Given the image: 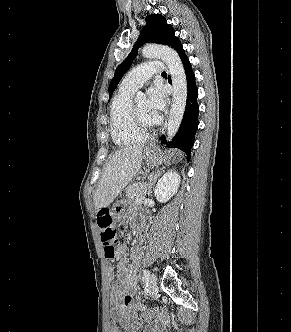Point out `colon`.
Wrapping results in <instances>:
<instances>
[{"instance_id": "obj_1", "label": "colon", "mask_w": 291, "mask_h": 332, "mask_svg": "<svg viewBox=\"0 0 291 332\" xmlns=\"http://www.w3.org/2000/svg\"><path fill=\"white\" fill-rule=\"evenodd\" d=\"M98 226L100 229L101 241L104 247L106 258L113 259L116 257L117 236L114 227V216L111 211L103 209L99 212L97 217ZM120 328L113 322L110 332H120Z\"/></svg>"}]
</instances>
